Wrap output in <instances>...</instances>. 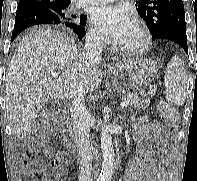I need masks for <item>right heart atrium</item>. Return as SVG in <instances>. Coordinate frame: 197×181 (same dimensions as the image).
Segmentation results:
<instances>
[{"instance_id": "right-heart-atrium-1", "label": "right heart atrium", "mask_w": 197, "mask_h": 181, "mask_svg": "<svg viewBox=\"0 0 197 181\" xmlns=\"http://www.w3.org/2000/svg\"><path fill=\"white\" fill-rule=\"evenodd\" d=\"M89 39L95 45H101L104 41L102 35L95 28L90 29Z\"/></svg>"}]
</instances>
